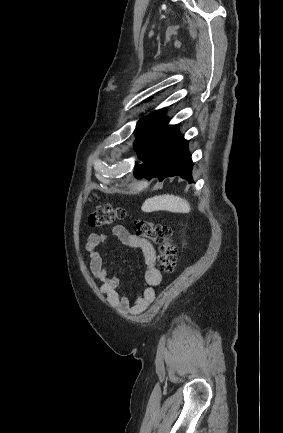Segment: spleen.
Segmentation results:
<instances>
[{
	"mask_svg": "<svg viewBox=\"0 0 283 433\" xmlns=\"http://www.w3.org/2000/svg\"><path fill=\"white\" fill-rule=\"evenodd\" d=\"M144 212H153V210H170V212H190V204L175 194H161V196H152L147 198L142 204Z\"/></svg>",
	"mask_w": 283,
	"mask_h": 433,
	"instance_id": "spleen-1",
	"label": "spleen"
}]
</instances>
